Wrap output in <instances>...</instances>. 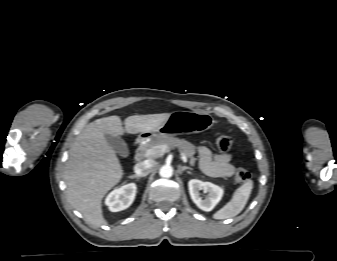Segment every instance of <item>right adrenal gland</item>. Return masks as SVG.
<instances>
[{
	"instance_id": "right-adrenal-gland-1",
	"label": "right adrenal gland",
	"mask_w": 337,
	"mask_h": 261,
	"mask_svg": "<svg viewBox=\"0 0 337 261\" xmlns=\"http://www.w3.org/2000/svg\"><path fill=\"white\" fill-rule=\"evenodd\" d=\"M130 178H136V179H140L141 177L140 176H138V175H132V176H130Z\"/></svg>"
}]
</instances>
